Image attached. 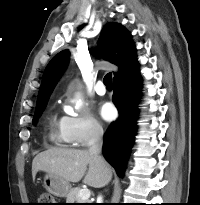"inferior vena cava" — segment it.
Instances as JSON below:
<instances>
[{
	"mask_svg": "<svg viewBox=\"0 0 200 205\" xmlns=\"http://www.w3.org/2000/svg\"><path fill=\"white\" fill-rule=\"evenodd\" d=\"M103 146V128L99 124H94L91 129L90 140L88 142V152L96 157H101ZM101 199V197H99Z\"/></svg>",
	"mask_w": 200,
	"mask_h": 205,
	"instance_id": "obj_1",
	"label": "inferior vena cava"
}]
</instances>
